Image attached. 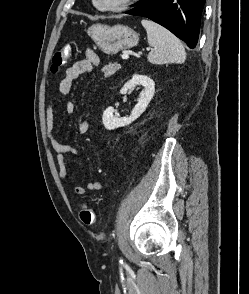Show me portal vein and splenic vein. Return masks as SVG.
I'll list each match as a JSON object with an SVG mask.
<instances>
[{
  "label": "portal vein and splenic vein",
  "mask_w": 249,
  "mask_h": 294,
  "mask_svg": "<svg viewBox=\"0 0 249 294\" xmlns=\"http://www.w3.org/2000/svg\"><path fill=\"white\" fill-rule=\"evenodd\" d=\"M121 58H122L123 60L128 59V58H129V55H128V54H124V55L121 56Z\"/></svg>",
  "instance_id": "18ae733b"
}]
</instances>
